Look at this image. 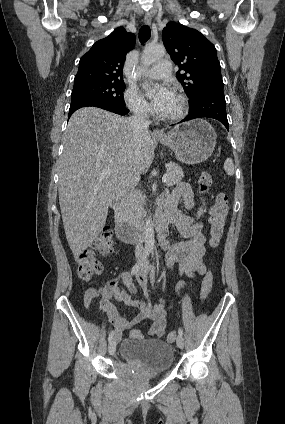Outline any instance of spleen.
<instances>
[{
	"mask_svg": "<svg viewBox=\"0 0 285 424\" xmlns=\"http://www.w3.org/2000/svg\"><path fill=\"white\" fill-rule=\"evenodd\" d=\"M223 168L225 172L227 173V175L232 176L234 174V165H233L232 159L227 158L224 162Z\"/></svg>",
	"mask_w": 285,
	"mask_h": 424,
	"instance_id": "spleen-1",
	"label": "spleen"
}]
</instances>
